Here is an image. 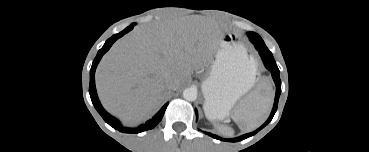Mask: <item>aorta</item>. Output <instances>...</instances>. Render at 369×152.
I'll use <instances>...</instances> for the list:
<instances>
[{
  "mask_svg": "<svg viewBox=\"0 0 369 152\" xmlns=\"http://www.w3.org/2000/svg\"><path fill=\"white\" fill-rule=\"evenodd\" d=\"M197 95V89L195 87H189L183 91V98L187 101H195Z\"/></svg>",
  "mask_w": 369,
  "mask_h": 152,
  "instance_id": "762f6f07",
  "label": "aorta"
}]
</instances>
